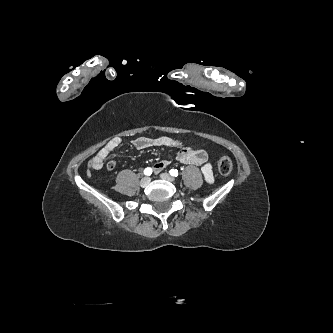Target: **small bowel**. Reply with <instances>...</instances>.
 Returning a JSON list of instances; mask_svg holds the SVG:
<instances>
[{"mask_svg":"<svg viewBox=\"0 0 333 333\" xmlns=\"http://www.w3.org/2000/svg\"><path fill=\"white\" fill-rule=\"evenodd\" d=\"M121 144L119 137L112 138L97 154L91 159L89 166L94 170L101 169L104 165L108 170H113L116 166L114 160H109L110 154ZM136 149L144 150L152 147L174 146L180 150L176 156L177 161L187 165L201 166V172L207 183H212L214 180L213 169L210 163L207 162V153L202 148H191L183 144L179 139L169 136H159L155 138L138 137L132 141ZM169 160L162 159L158 161L153 169L158 173L169 165Z\"/></svg>","mask_w":333,"mask_h":333,"instance_id":"obj_1","label":"small bowel"}]
</instances>
